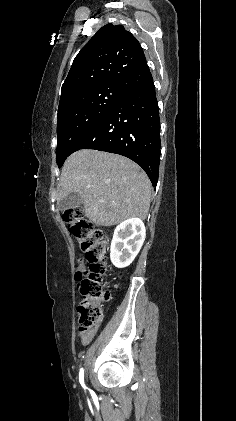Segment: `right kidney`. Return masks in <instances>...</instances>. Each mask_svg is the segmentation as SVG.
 <instances>
[{"mask_svg": "<svg viewBox=\"0 0 236 421\" xmlns=\"http://www.w3.org/2000/svg\"><path fill=\"white\" fill-rule=\"evenodd\" d=\"M146 237L141 219H127L116 227L111 243L110 259L114 267H128L138 255Z\"/></svg>", "mask_w": 236, "mask_h": 421, "instance_id": "ca27d5eb", "label": "right kidney"}]
</instances>
